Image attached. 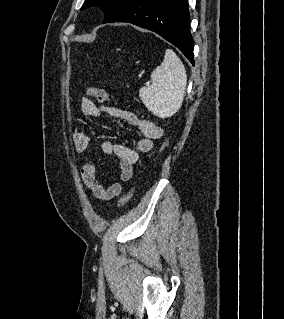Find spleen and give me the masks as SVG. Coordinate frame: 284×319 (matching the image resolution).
<instances>
[{"instance_id": "1", "label": "spleen", "mask_w": 284, "mask_h": 319, "mask_svg": "<svg viewBox=\"0 0 284 319\" xmlns=\"http://www.w3.org/2000/svg\"><path fill=\"white\" fill-rule=\"evenodd\" d=\"M151 81L140 88V99L154 115L171 117L182 105L187 81L184 65L171 49H166L163 62L152 71Z\"/></svg>"}]
</instances>
